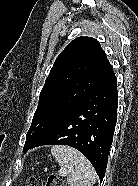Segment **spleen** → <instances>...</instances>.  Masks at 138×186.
Masks as SVG:
<instances>
[{
  "label": "spleen",
  "instance_id": "obj_1",
  "mask_svg": "<svg viewBox=\"0 0 138 186\" xmlns=\"http://www.w3.org/2000/svg\"><path fill=\"white\" fill-rule=\"evenodd\" d=\"M51 154L68 171L70 186H93L96 172L82 153L72 147L55 145L51 148Z\"/></svg>",
  "mask_w": 138,
  "mask_h": 186
}]
</instances>
